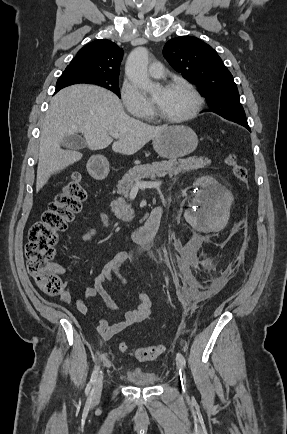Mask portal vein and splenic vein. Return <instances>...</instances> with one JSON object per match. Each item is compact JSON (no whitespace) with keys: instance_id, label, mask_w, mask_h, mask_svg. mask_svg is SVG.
I'll list each match as a JSON object with an SVG mask.
<instances>
[{"instance_id":"1","label":"portal vein and splenic vein","mask_w":287,"mask_h":434,"mask_svg":"<svg viewBox=\"0 0 287 434\" xmlns=\"http://www.w3.org/2000/svg\"><path fill=\"white\" fill-rule=\"evenodd\" d=\"M113 138L118 139L119 134L118 133H111L110 134ZM161 181H136L134 184L135 188H153L158 187L161 185Z\"/></svg>"}]
</instances>
